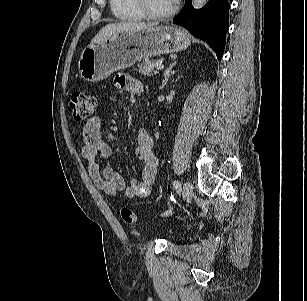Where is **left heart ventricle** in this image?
Listing matches in <instances>:
<instances>
[{
    "label": "left heart ventricle",
    "mask_w": 307,
    "mask_h": 301,
    "mask_svg": "<svg viewBox=\"0 0 307 301\" xmlns=\"http://www.w3.org/2000/svg\"><path fill=\"white\" fill-rule=\"evenodd\" d=\"M174 0H147L149 8L155 13H164L174 5Z\"/></svg>",
    "instance_id": "obj_1"
}]
</instances>
